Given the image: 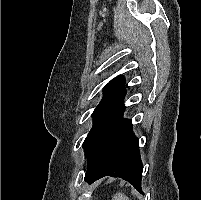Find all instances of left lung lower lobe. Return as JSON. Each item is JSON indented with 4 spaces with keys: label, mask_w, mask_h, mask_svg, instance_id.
I'll return each instance as SVG.
<instances>
[{
    "label": "left lung lower lobe",
    "mask_w": 201,
    "mask_h": 200,
    "mask_svg": "<svg viewBox=\"0 0 201 200\" xmlns=\"http://www.w3.org/2000/svg\"><path fill=\"white\" fill-rule=\"evenodd\" d=\"M125 105L121 102L104 120L90 141L85 158L89 183L104 177H120L142 192L143 164L138 138L132 132L130 119H123Z\"/></svg>",
    "instance_id": "0a47b994"
}]
</instances>
